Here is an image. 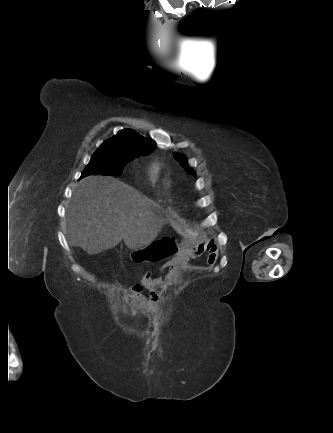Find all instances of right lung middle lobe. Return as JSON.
<instances>
[{"label": "right lung middle lobe", "instance_id": "1", "mask_svg": "<svg viewBox=\"0 0 333 433\" xmlns=\"http://www.w3.org/2000/svg\"><path fill=\"white\" fill-rule=\"evenodd\" d=\"M134 158H136L135 155L115 154L107 150L98 149L82 172L81 178L91 174L120 175L123 166Z\"/></svg>", "mask_w": 333, "mask_h": 433}]
</instances>
